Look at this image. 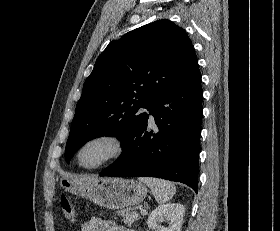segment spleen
I'll return each mask as SVG.
<instances>
[{"label":"spleen","instance_id":"spleen-1","mask_svg":"<svg viewBox=\"0 0 280 231\" xmlns=\"http://www.w3.org/2000/svg\"><path fill=\"white\" fill-rule=\"evenodd\" d=\"M139 179L147 183L158 203H166L176 191L174 183L166 179H158V177H139Z\"/></svg>","mask_w":280,"mask_h":231}]
</instances>
